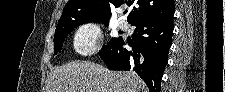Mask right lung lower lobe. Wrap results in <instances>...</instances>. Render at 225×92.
Here are the masks:
<instances>
[{
    "label": "right lung lower lobe",
    "mask_w": 225,
    "mask_h": 92,
    "mask_svg": "<svg viewBox=\"0 0 225 92\" xmlns=\"http://www.w3.org/2000/svg\"><path fill=\"white\" fill-rule=\"evenodd\" d=\"M136 29L132 50H126L118 39L99 51L110 70H133L146 83L150 92H160L161 80L172 44L173 14L165 18L142 19L132 24Z\"/></svg>",
    "instance_id": "98d812e1"
}]
</instances>
